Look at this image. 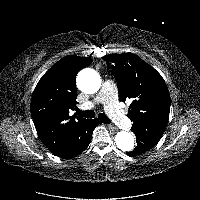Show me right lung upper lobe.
<instances>
[{
  "label": "right lung upper lobe",
  "mask_w": 200,
  "mask_h": 200,
  "mask_svg": "<svg viewBox=\"0 0 200 200\" xmlns=\"http://www.w3.org/2000/svg\"><path fill=\"white\" fill-rule=\"evenodd\" d=\"M92 60L66 56L55 63L39 80L31 99V116L44 145L55 155L69 149L88 119L70 116L77 99V73Z\"/></svg>",
  "instance_id": "right-lung-upper-lobe-1"
}]
</instances>
